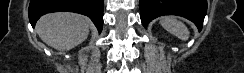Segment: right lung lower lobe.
<instances>
[{"instance_id":"98d812e1","label":"right lung lower lobe","mask_w":244,"mask_h":73,"mask_svg":"<svg viewBox=\"0 0 244 73\" xmlns=\"http://www.w3.org/2000/svg\"><path fill=\"white\" fill-rule=\"evenodd\" d=\"M103 0H31L29 20L32 27L44 14L56 11H70L88 16L99 33L103 27Z\"/></svg>"}]
</instances>
